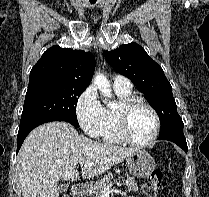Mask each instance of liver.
<instances>
[{"instance_id":"liver-1","label":"liver","mask_w":209,"mask_h":197,"mask_svg":"<svg viewBox=\"0 0 209 197\" xmlns=\"http://www.w3.org/2000/svg\"><path fill=\"white\" fill-rule=\"evenodd\" d=\"M137 150L91 140L66 122L40 125L27 136L17 157L22 197H58V181L78 179L81 158L86 179L105 173Z\"/></svg>"}]
</instances>
